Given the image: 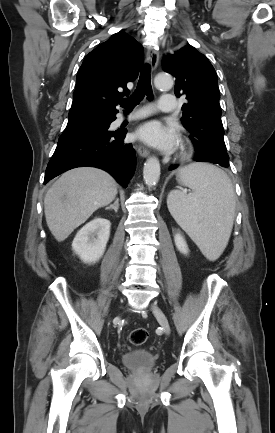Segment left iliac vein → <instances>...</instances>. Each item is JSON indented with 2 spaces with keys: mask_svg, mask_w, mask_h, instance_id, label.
Segmentation results:
<instances>
[{
  "mask_svg": "<svg viewBox=\"0 0 275 433\" xmlns=\"http://www.w3.org/2000/svg\"><path fill=\"white\" fill-rule=\"evenodd\" d=\"M152 311H153V314L155 315V317L157 318L159 324L164 329L165 333L170 334L169 322H168L165 314L163 313V311L156 304H153Z\"/></svg>",
  "mask_w": 275,
  "mask_h": 433,
  "instance_id": "left-iliac-vein-1",
  "label": "left iliac vein"
}]
</instances>
